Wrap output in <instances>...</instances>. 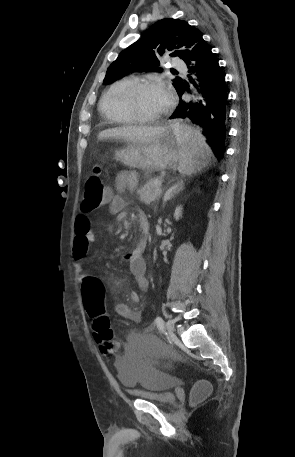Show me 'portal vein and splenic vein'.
<instances>
[{"label":"portal vein and splenic vein","instance_id":"obj_1","mask_svg":"<svg viewBox=\"0 0 295 457\" xmlns=\"http://www.w3.org/2000/svg\"><path fill=\"white\" fill-rule=\"evenodd\" d=\"M162 182L161 181H155V185L161 186Z\"/></svg>","mask_w":295,"mask_h":457}]
</instances>
